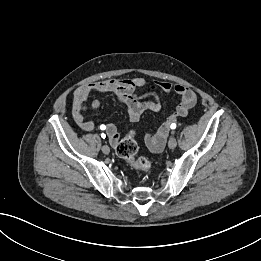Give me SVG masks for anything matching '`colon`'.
Instances as JSON below:
<instances>
[{
  "label": "colon",
  "mask_w": 261,
  "mask_h": 261,
  "mask_svg": "<svg viewBox=\"0 0 261 261\" xmlns=\"http://www.w3.org/2000/svg\"><path fill=\"white\" fill-rule=\"evenodd\" d=\"M137 150L138 145L133 131L128 132L116 145L118 156L124 159L133 169L143 173L150 172L151 162L145 157H136Z\"/></svg>",
  "instance_id": "colon-1"
}]
</instances>
